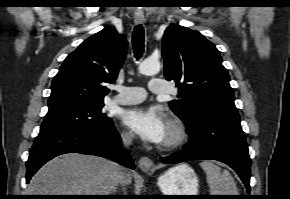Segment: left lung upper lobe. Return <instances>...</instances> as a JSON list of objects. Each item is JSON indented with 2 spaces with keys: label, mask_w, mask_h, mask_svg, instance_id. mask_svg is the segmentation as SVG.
<instances>
[{
  "label": "left lung upper lobe",
  "mask_w": 290,
  "mask_h": 199,
  "mask_svg": "<svg viewBox=\"0 0 290 199\" xmlns=\"http://www.w3.org/2000/svg\"><path fill=\"white\" fill-rule=\"evenodd\" d=\"M164 75L178 86L179 100L169 103L184 123L199 115L240 122L229 75L215 45L198 31L167 27L163 37Z\"/></svg>",
  "instance_id": "left-lung-upper-lobe-1"
}]
</instances>
